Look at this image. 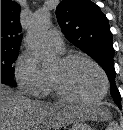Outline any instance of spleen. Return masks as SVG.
<instances>
[{"mask_svg":"<svg viewBox=\"0 0 123 130\" xmlns=\"http://www.w3.org/2000/svg\"><path fill=\"white\" fill-rule=\"evenodd\" d=\"M119 126H118V123L117 122H110L108 127H107V130H119Z\"/></svg>","mask_w":123,"mask_h":130,"instance_id":"obj_1","label":"spleen"}]
</instances>
